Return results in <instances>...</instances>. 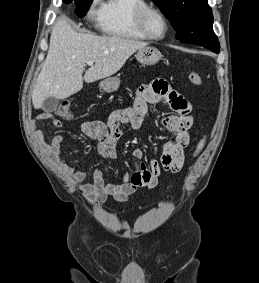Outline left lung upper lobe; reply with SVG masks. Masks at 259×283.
Returning <instances> with one entry per match:
<instances>
[{
	"mask_svg": "<svg viewBox=\"0 0 259 283\" xmlns=\"http://www.w3.org/2000/svg\"><path fill=\"white\" fill-rule=\"evenodd\" d=\"M173 24L176 38L183 43L217 41L208 0H153Z\"/></svg>",
	"mask_w": 259,
	"mask_h": 283,
	"instance_id": "left-lung-upper-lobe-1",
	"label": "left lung upper lobe"
}]
</instances>
